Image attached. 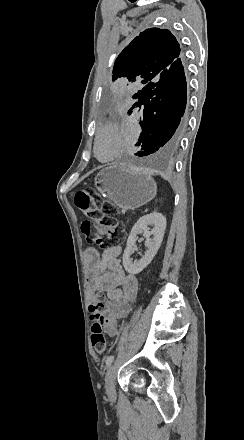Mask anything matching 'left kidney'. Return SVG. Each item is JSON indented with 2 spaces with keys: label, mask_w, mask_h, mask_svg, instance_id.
<instances>
[{
  "label": "left kidney",
  "mask_w": 244,
  "mask_h": 440,
  "mask_svg": "<svg viewBox=\"0 0 244 440\" xmlns=\"http://www.w3.org/2000/svg\"><path fill=\"white\" fill-rule=\"evenodd\" d=\"M148 226H154L151 232H149L150 228H148ZM165 228L166 218L163 214H158V212H153V214H147V216L139 218L130 232L123 254V266L128 274H139V272H142V270L152 262L163 242ZM137 234H144V238H146L144 246L147 250L140 260L133 262L131 256L137 240ZM150 236H153V240H151Z\"/></svg>",
  "instance_id": "1"
}]
</instances>
